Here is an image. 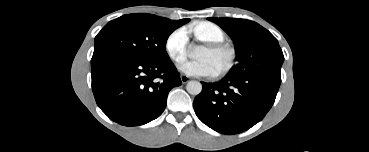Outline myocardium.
Listing matches in <instances>:
<instances>
[{
  "label": "myocardium",
  "instance_id": "1",
  "mask_svg": "<svg viewBox=\"0 0 369 152\" xmlns=\"http://www.w3.org/2000/svg\"><path fill=\"white\" fill-rule=\"evenodd\" d=\"M208 47L220 54H224L226 56V61L223 66L217 70L216 75H224L228 73L235 64L236 53L232 46L223 42H210Z\"/></svg>",
  "mask_w": 369,
  "mask_h": 152
}]
</instances>
